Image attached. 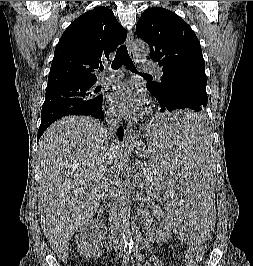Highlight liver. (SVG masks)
I'll use <instances>...</instances> for the list:
<instances>
[{"mask_svg": "<svg viewBox=\"0 0 253 266\" xmlns=\"http://www.w3.org/2000/svg\"><path fill=\"white\" fill-rule=\"evenodd\" d=\"M125 148L89 116L62 118L41 137L40 223L60 258L67 257L70 239L97 211L107 173L118 166Z\"/></svg>", "mask_w": 253, "mask_h": 266, "instance_id": "6515ba94", "label": "liver"}]
</instances>
